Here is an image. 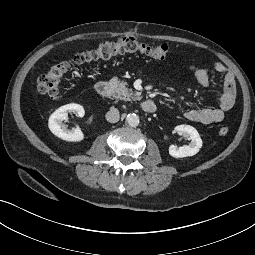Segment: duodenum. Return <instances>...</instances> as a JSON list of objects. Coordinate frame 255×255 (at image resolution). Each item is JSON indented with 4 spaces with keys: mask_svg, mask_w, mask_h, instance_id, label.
Wrapping results in <instances>:
<instances>
[{
    "mask_svg": "<svg viewBox=\"0 0 255 255\" xmlns=\"http://www.w3.org/2000/svg\"><path fill=\"white\" fill-rule=\"evenodd\" d=\"M96 92L102 97H109L111 95V88L107 81L99 80L95 85ZM141 108L144 112L152 113L157 109V104L153 100H145L141 103Z\"/></svg>",
    "mask_w": 255,
    "mask_h": 255,
    "instance_id": "obj_1",
    "label": "duodenum"
}]
</instances>
